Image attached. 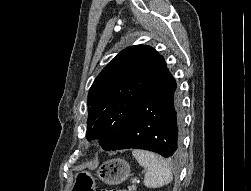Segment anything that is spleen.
<instances>
[{
	"mask_svg": "<svg viewBox=\"0 0 251 191\" xmlns=\"http://www.w3.org/2000/svg\"><path fill=\"white\" fill-rule=\"evenodd\" d=\"M132 153L145 169L144 185L146 187H161L172 181L171 167L161 155L153 151H145V149H133Z\"/></svg>",
	"mask_w": 251,
	"mask_h": 191,
	"instance_id": "obj_1",
	"label": "spleen"
}]
</instances>
